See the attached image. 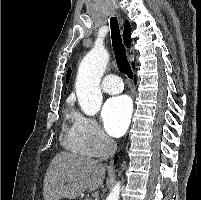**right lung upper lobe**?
<instances>
[{"label":"right lung upper lobe","mask_w":201,"mask_h":200,"mask_svg":"<svg viewBox=\"0 0 201 200\" xmlns=\"http://www.w3.org/2000/svg\"><path fill=\"white\" fill-rule=\"evenodd\" d=\"M123 37H124L125 45L129 47L131 44V26L127 20L125 21V25H124ZM70 76H71V69H68L67 76H66V83H68Z\"/></svg>","instance_id":"cb5924a9"}]
</instances>
